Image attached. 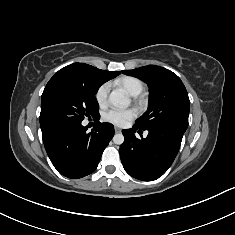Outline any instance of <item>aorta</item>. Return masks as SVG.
I'll use <instances>...</instances> for the list:
<instances>
[{"label": "aorta", "instance_id": "obj_1", "mask_svg": "<svg viewBox=\"0 0 235 235\" xmlns=\"http://www.w3.org/2000/svg\"><path fill=\"white\" fill-rule=\"evenodd\" d=\"M109 102L116 107H128L130 99L125 95L122 89H115L109 95ZM113 142L117 145H121L124 142V136L122 133L115 134Z\"/></svg>", "mask_w": 235, "mask_h": 235}]
</instances>
